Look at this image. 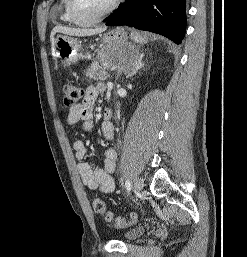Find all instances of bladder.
Segmentation results:
<instances>
[{
    "label": "bladder",
    "instance_id": "31cf9c89",
    "mask_svg": "<svg viewBox=\"0 0 247 257\" xmlns=\"http://www.w3.org/2000/svg\"><path fill=\"white\" fill-rule=\"evenodd\" d=\"M146 231H147V228L144 226L134 227L127 230L123 234L122 238L124 241H127V242L135 241L140 237H142L146 233Z\"/></svg>",
    "mask_w": 247,
    "mask_h": 257
}]
</instances>
